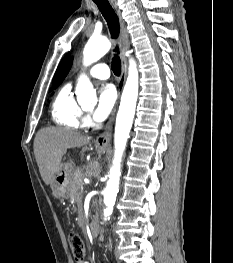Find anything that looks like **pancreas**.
<instances>
[{"instance_id": "1", "label": "pancreas", "mask_w": 233, "mask_h": 263, "mask_svg": "<svg viewBox=\"0 0 233 263\" xmlns=\"http://www.w3.org/2000/svg\"><path fill=\"white\" fill-rule=\"evenodd\" d=\"M83 174L81 171L77 170L70 178L71 183V191H70V199L73 200L76 203H80L82 198V191H80V188L83 184Z\"/></svg>"}]
</instances>
